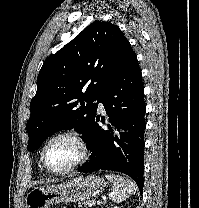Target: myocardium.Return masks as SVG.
I'll return each mask as SVG.
<instances>
[{
  "instance_id": "1",
  "label": "myocardium",
  "mask_w": 199,
  "mask_h": 208,
  "mask_svg": "<svg viewBox=\"0 0 199 208\" xmlns=\"http://www.w3.org/2000/svg\"><path fill=\"white\" fill-rule=\"evenodd\" d=\"M60 138H70L73 141H75L80 148V156L75 162H73L71 165H69L65 168L53 169V168L49 167V165L47 164V161L45 158V152H46L48 145L52 141H54L56 139H60ZM89 156H90V149H89V146H88L85 138L80 133L73 131V130L62 131V132L54 134L44 143L42 150H41V162H42L43 166L45 167V169L52 174H59V175L60 174H67V173L73 171L74 169L80 167L81 165H83L87 161Z\"/></svg>"
}]
</instances>
